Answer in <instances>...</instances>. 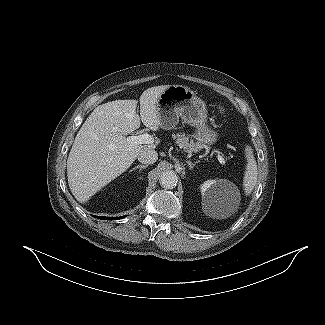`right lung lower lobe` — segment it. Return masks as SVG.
I'll return each mask as SVG.
<instances>
[{"mask_svg":"<svg viewBox=\"0 0 325 325\" xmlns=\"http://www.w3.org/2000/svg\"><path fill=\"white\" fill-rule=\"evenodd\" d=\"M124 217L125 216H122V217H101V216H99L98 218L103 219V220H117V219L124 218Z\"/></svg>","mask_w":325,"mask_h":325,"instance_id":"obj_1","label":"right lung lower lobe"}]
</instances>
